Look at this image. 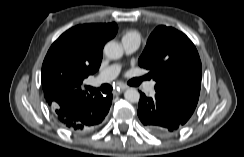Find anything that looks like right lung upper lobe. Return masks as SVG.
<instances>
[{"mask_svg":"<svg viewBox=\"0 0 244 157\" xmlns=\"http://www.w3.org/2000/svg\"><path fill=\"white\" fill-rule=\"evenodd\" d=\"M117 31L116 23L78 25L52 44L41 74L44 96L55 112L65 114L102 96H90L82 82L99 69L103 47Z\"/></svg>","mask_w":244,"mask_h":157,"instance_id":"cb5924a9","label":"right lung upper lobe"}]
</instances>
